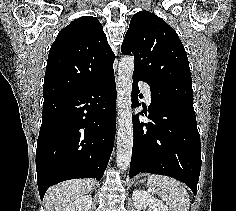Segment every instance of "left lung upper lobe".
Segmentation results:
<instances>
[{
  "label": "left lung upper lobe",
  "instance_id": "obj_1",
  "mask_svg": "<svg viewBox=\"0 0 236 211\" xmlns=\"http://www.w3.org/2000/svg\"><path fill=\"white\" fill-rule=\"evenodd\" d=\"M121 51L135 58L134 75L171 102L193 108L191 72L176 31L148 11L134 14Z\"/></svg>",
  "mask_w": 236,
  "mask_h": 211
}]
</instances>
